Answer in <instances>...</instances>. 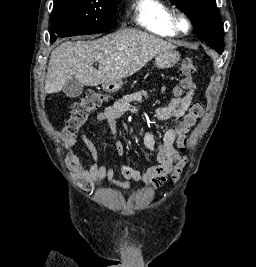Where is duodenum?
<instances>
[{
    "label": "duodenum",
    "instance_id": "obj_1",
    "mask_svg": "<svg viewBox=\"0 0 256 267\" xmlns=\"http://www.w3.org/2000/svg\"><path fill=\"white\" fill-rule=\"evenodd\" d=\"M123 85L124 82L119 81L118 78H107L105 83L102 84V90H104V94H113V90H118Z\"/></svg>",
    "mask_w": 256,
    "mask_h": 267
}]
</instances>
